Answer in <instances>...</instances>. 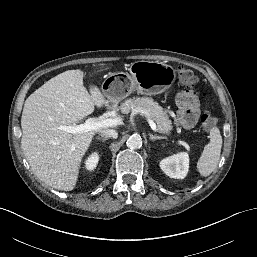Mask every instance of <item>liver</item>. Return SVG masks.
Segmentation results:
<instances>
[{
	"instance_id": "obj_1",
	"label": "liver",
	"mask_w": 257,
	"mask_h": 257,
	"mask_svg": "<svg viewBox=\"0 0 257 257\" xmlns=\"http://www.w3.org/2000/svg\"><path fill=\"white\" fill-rule=\"evenodd\" d=\"M81 70H68L47 81L25 101L21 117V148L32 171L45 184L64 191L74 189L82 159L96 132L77 134L58 129L71 126L94 111L108 106L94 85L87 90Z\"/></svg>"
}]
</instances>
